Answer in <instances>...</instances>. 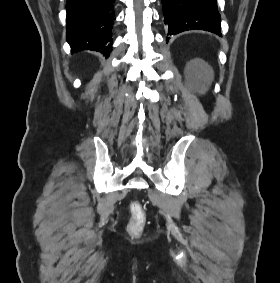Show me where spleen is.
<instances>
[{
  "instance_id": "1",
  "label": "spleen",
  "mask_w": 280,
  "mask_h": 283,
  "mask_svg": "<svg viewBox=\"0 0 280 283\" xmlns=\"http://www.w3.org/2000/svg\"><path fill=\"white\" fill-rule=\"evenodd\" d=\"M204 81L206 84H209L213 79V71L211 68L207 67L204 72Z\"/></svg>"
}]
</instances>
